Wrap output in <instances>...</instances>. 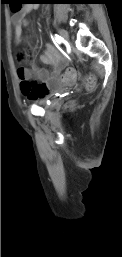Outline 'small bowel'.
<instances>
[{
    "instance_id": "obj_1",
    "label": "small bowel",
    "mask_w": 122,
    "mask_h": 257,
    "mask_svg": "<svg viewBox=\"0 0 122 257\" xmlns=\"http://www.w3.org/2000/svg\"><path fill=\"white\" fill-rule=\"evenodd\" d=\"M35 9L36 6L34 5H26L23 7V10H19L13 15V32L17 45L21 42L23 27L29 25L27 15ZM41 61L51 66L52 70L49 72L39 69L35 65L31 69L23 66L17 69L21 92L30 100H39L47 97L51 92L50 85L63 79L61 72L66 66V59L53 44L47 43L45 45Z\"/></svg>"
}]
</instances>
